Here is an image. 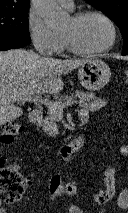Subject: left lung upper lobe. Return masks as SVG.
<instances>
[{"label":"left lung upper lobe","instance_id":"1","mask_svg":"<svg viewBox=\"0 0 128 213\" xmlns=\"http://www.w3.org/2000/svg\"><path fill=\"white\" fill-rule=\"evenodd\" d=\"M113 20L124 40L123 52L128 54V0H86Z\"/></svg>","mask_w":128,"mask_h":213}]
</instances>
